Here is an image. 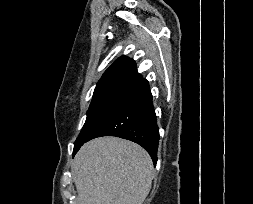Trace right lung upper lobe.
<instances>
[{"instance_id":"cb5924a9","label":"right lung upper lobe","mask_w":253,"mask_h":204,"mask_svg":"<svg viewBox=\"0 0 253 204\" xmlns=\"http://www.w3.org/2000/svg\"><path fill=\"white\" fill-rule=\"evenodd\" d=\"M143 80L137 72L134 60L121 56L104 72L96 88L119 82L141 83Z\"/></svg>"}]
</instances>
